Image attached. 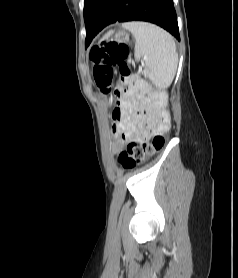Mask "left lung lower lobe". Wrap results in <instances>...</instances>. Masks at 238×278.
<instances>
[{
	"label": "left lung lower lobe",
	"mask_w": 238,
	"mask_h": 278,
	"mask_svg": "<svg viewBox=\"0 0 238 278\" xmlns=\"http://www.w3.org/2000/svg\"><path fill=\"white\" fill-rule=\"evenodd\" d=\"M131 20L157 24L180 40L173 0H103L86 30L85 47L107 25Z\"/></svg>",
	"instance_id": "left-lung-lower-lobe-1"
}]
</instances>
